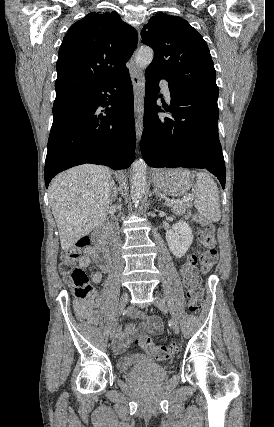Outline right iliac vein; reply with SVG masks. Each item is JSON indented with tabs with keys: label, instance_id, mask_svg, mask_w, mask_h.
I'll return each instance as SVG.
<instances>
[{
	"label": "right iliac vein",
	"instance_id": "right-iliac-vein-1",
	"mask_svg": "<svg viewBox=\"0 0 274 427\" xmlns=\"http://www.w3.org/2000/svg\"><path fill=\"white\" fill-rule=\"evenodd\" d=\"M128 300H129V295L127 292H124L121 296V299H120V303H119V307H118V316H120L122 314L124 308L126 307ZM117 319H118V317H117ZM117 319L113 323L111 331H110V340H111L113 348H115V345H116L115 333L117 331Z\"/></svg>",
	"mask_w": 274,
	"mask_h": 427
}]
</instances>
